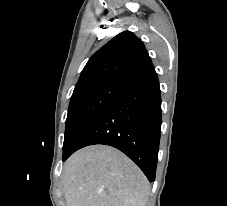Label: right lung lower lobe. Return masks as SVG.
<instances>
[{
  "label": "right lung lower lobe",
  "instance_id": "obj_1",
  "mask_svg": "<svg viewBox=\"0 0 227 206\" xmlns=\"http://www.w3.org/2000/svg\"><path fill=\"white\" fill-rule=\"evenodd\" d=\"M161 129V92L155 69L128 82L126 90L90 124L71 153L93 144L113 146L155 179Z\"/></svg>",
  "mask_w": 227,
  "mask_h": 206
}]
</instances>
